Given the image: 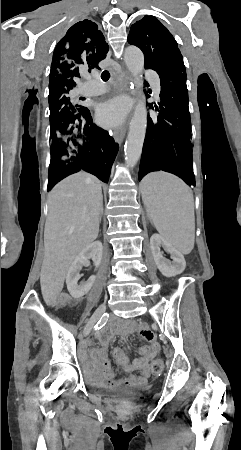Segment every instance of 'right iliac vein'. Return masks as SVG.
Returning a JSON list of instances; mask_svg holds the SVG:
<instances>
[{
  "instance_id": "63e3f726",
  "label": "right iliac vein",
  "mask_w": 241,
  "mask_h": 450,
  "mask_svg": "<svg viewBox=\"0 0 241 450\" xmlns=\"http://www.w3.org/2000/svg\"><path fill=\"white\" fill-rule=\"evenodd\" d=\"M105 309H106L105 304L100 305L96 309L93 316L89 319V321L87 322V324L84 328V331H83L84 336H87L90 333V331L92 330L95 323L100 319L102 314L105 312Z\"/></svg>"
}]
</instances>
